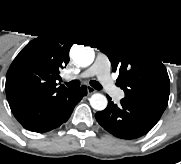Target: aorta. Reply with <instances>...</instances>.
Segmentation results:
<instances>
[{"mask_svg":"<svg viewBox=\"0 0 181 164\" xmlns=\"http://www.w3.org/2000/svg\"><path fill=\"white\" fill-rule=\"evenodd\" d=\"M73 61L82 66L86 67L93 63L94 52L91 47L87 46H76L71 53ZM107 98L100 93H95L90 98V105L97 111H102L107 107Z\"/></svg>","mask_w":181,"mask_h":164,"instance_id":"obj_1","label":"aorta"}]
</instances>
